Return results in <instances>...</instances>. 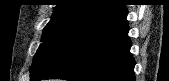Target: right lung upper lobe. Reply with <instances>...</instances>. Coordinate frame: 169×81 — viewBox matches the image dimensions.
<instances>
[{
  "label": "right lung upper lobe",
  "instance_id": "cb5924a9",
  "mask_svg": "<svg viewBox=\"0 0 169 81\" xmlns=\"http://www.w3.org/2000/svg\"><path fill=\"white\" fill-rule=\"evenodd\" d=\"M122 6L118 0H61L52 19L75 17L88 22Z\"/></svg>",
  "mask_w": 169,
  "mask_h": 81
}]
</instances>
